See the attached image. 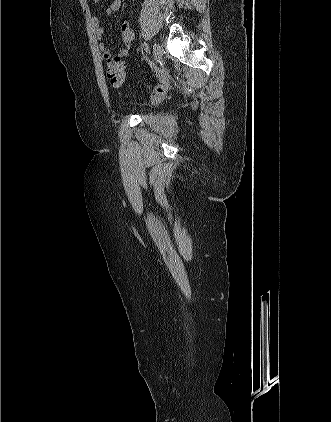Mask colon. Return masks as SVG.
<instances>
[{
  "instance_id": "colon-1",
  "label": "colon",
  "mask_w": 331,
  "mask_h": 422,
  "mask_svg": "<svg viewBox=\"0 0 331 422\" xmlns=\"http://www.w3.org/2000/svg\"><path fill=\"white\" fill-rule=\"evenodd\" d=\"M106 76L114 88H121L126 79L125 63L120 57H114L107 61ZM164 95V87L161 85L156 86L153 92V100L160 101Z\"/></svg>"
}]
</instances>
